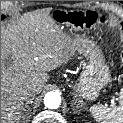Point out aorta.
<instances>
[{
  "label": "aorta",
  "mask_w": 123,
  "mask_h": 123,
  "mask_svg": "<svg viewBox=\"0 0 123 123\" xmlns=\"http://www.w3.org/2000/svg\"><path fill=\"white\" fill-rule=\"evenodd\" d=\"M44 104L49 109H57L61 105L60 93L51 91L45 94Z\"/></svg>",
  "instance_id": "obj_1"
}]
</instances>
